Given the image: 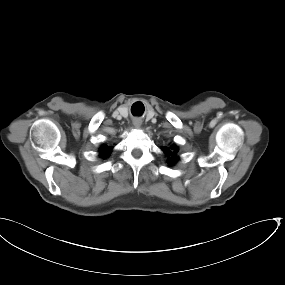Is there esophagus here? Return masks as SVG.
<instances>
[{"label": "esophagus", "mask_w": 285, "mask_h": 285, "mask_svg": "<svg viewBox=\"0 0 285 285\" xmlns=\"http://www.w3.org/2000/svg\"><path fill=\"white\" fill-rule=\"evenodd\" d=\"M141 124H142V121L140 119H135L133 121V125L135 128H140Z\"/></svg>", "instance_id": "esophagus-1"}]
</instances>
